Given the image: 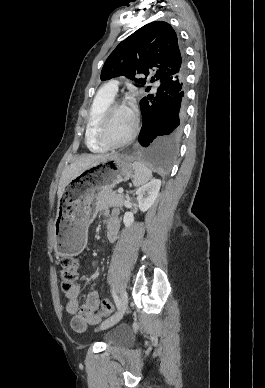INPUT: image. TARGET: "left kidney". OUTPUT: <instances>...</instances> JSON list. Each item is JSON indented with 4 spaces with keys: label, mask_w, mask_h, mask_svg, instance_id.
<instances>
[{
    "label": "left kidney",
    "mask_w": 265,
    "mask_h": 388,
    "mask_svg": "<svg viewBox=\"0 0 265 388\" xmlns=\"http://www.w3.org/2000/svg\"><path fill=\"white\" fill-rule=\"evenodd\" d=\"M161 188V180H151L149 184L141 186L136 192L138 200V208L141 212H147L151 206H153ZM123 222L126 228L132 226L134 222V216L132 212H125Z\"/></svg>",
    "instance_id": "obj_1"
}]
</instances>
